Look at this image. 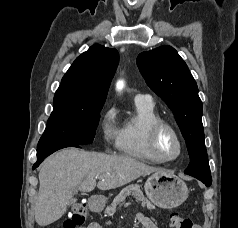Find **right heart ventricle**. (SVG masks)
I'll list each match as a JSON object with an SVG mask.
<instances>
[{
	"label": "right heart ventricle",
	"mask_w": 238,
	"mask_h": 228,
	"mask_svg": "<svg viewBox=\"0 0 238 228\" xmlns=\"http://www.w3.org/2000/svg\"><path fill=\"white\" fill-rule=\"evenodd\" d=\"M135 113L126 118L120 128L117 140L119 152L151 163H162L148 146L149 130L162 120L152 101L134 100Z\"/></svg>",
	"instance_id": "1"
}]
</instances>
